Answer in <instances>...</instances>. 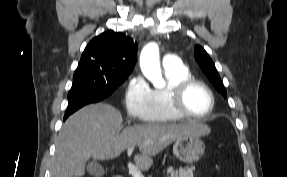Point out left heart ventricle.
<instances>
[{
    "mask_svg": "<svg viewBox=\"0 0 287 177\" xmlns=\"http://www.w3.org/2000/svg\"><path fill=\"white\" fill-rule=\"evenodd\" d=\"M186 109L195 115H204L208 112L211 100L207 91L201 86H192L184 99Z\"/></svg>",
    "mask_w": 287,
    "mask_h": 177,
    "instance_id": "b2bd125f",
    "label": "left heart ventricle"
}]
</instances>
